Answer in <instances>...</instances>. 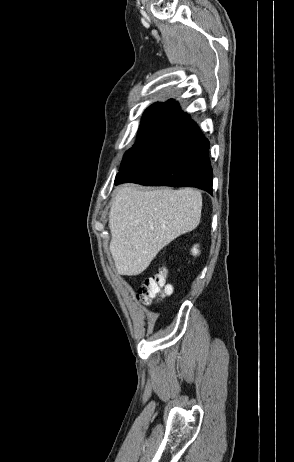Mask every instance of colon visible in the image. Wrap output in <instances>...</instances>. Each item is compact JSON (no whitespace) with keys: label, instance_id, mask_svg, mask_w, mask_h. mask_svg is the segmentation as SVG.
Wrapping results in <instances>:
<instances>
[{"label":"colon","instance_id":"5ec220e1","mask_svg":"<svg viewBox=\"0 0 294 462\" xmlns=\"http://www.w3.org/2000/svg\"><path fill=\"white\" fill-rule=\"evenodd\" d=\"M167 270L161 267L153 276L147 278L137 293V299L144 304H151L161 295H170L173 292L171 285H166Z\"/></svg>","mask_w":294,"mask_h":462}]
</instances>
